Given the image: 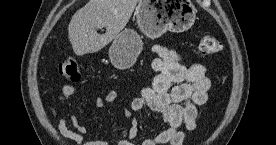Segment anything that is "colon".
<instances>
[{
	"mask_svg": "<svg viewBox=\"0 0 276 145\" xmlns=\"http://www.w3.org/2000/svg\"><path fill=\"white\" fill-rule=\"evenodd\" d=\"M222 49L220 41L212 35H202L199 39V51L204 56L218 54ZM59 73L70 81H79L81 73L73 58L64 59L59 65Z\"/></svg>",
	"mask_w": 276,
	"mask_h": 145,
	"instance_id": "colon-1",
	"label": "colon"
}]
</instances>
